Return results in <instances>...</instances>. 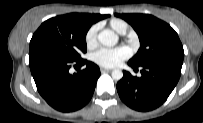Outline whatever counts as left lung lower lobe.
Returning a JSON list of instances; mask_svg holds the SVG:
<instances>
[{"instance_id":"0a47b994","label":"left lung lower lobe","mask_w":203,"mask_h":123,"mask_svg":"<svg viewBox=\"0 0 203 123\" xmlns=\"http://www.w3.org/2000/svg\"><path fill=\"white\" fill-rule=\"evenodd\" d=\"M181 61H155L144 65L140 78L123 71L117 83L121 100L137 111H150L162 105L175 88L182 68ZM128 64L137 70L139 66Z\"/></svg>"}]
</instances>
